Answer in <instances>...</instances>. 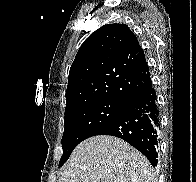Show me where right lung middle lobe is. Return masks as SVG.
Returning a JSON list of instances; mask_svg holds the SVG:
<instances>
[{"label": "right lung middle lobe", "mask_w": 196, "mask_h": 182, "mask_svg": "<svg viewBox=\"0 0 196 182\" xmlns=\"http://www.w3.org/2000/svg\"><path fill=\"white\" fill-rule=\"evenodd\" d=\"M129 104L116 99L101 98L65 111L63 155L59 167L68 160L81 141L91 137L100 127L125 111Z\"/></svg>", "instance_id": "right-lung-middle-lobe-1"}]
</instances>
